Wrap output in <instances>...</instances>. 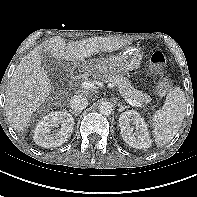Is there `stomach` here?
I'll list each match as a JSON object with an SVG mask.
<instances>
[{
  "mask_svg": "<svg viewBox=\"0 0 197 197\" xmlns=\"http://www.w3.org/2000/svg\"><path fill=\"white\" fill-rule=\"evenodd\" d=\"M142 53L139 49L126 47L116 56L91 59L79 64L82 70L99 73H128L140 68Z\"/></svg>",
  "mask_w": 197,
  "mask_h": 197,
  "instance_id": "stomach-1",
  "label": "stomach"
}]
</instances>
